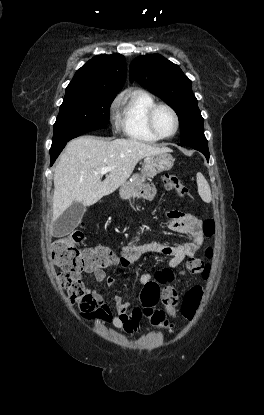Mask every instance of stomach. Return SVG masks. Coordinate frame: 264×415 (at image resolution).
Listing matches in <instances>:
<instances>
[{
    "instance_id": "1",
    "label": "stomach",
    "mask_w": 264,
    "mask_h": 415,
    "mask_svg": "<svg viewBox=\"0 0 264 415\" xmlns=\"http://www.w3.org/2000/svg\"><path fill=\"white\" fill-rule=\"evenodd\" d=\"M174 164V158L168 152L152 155L144 158L141 174L134 175L132 180L120 187L119 194L122 200H130L139 196L145 179L154 177L163 171H168Z\"/></svg>"
}]
</instances>
